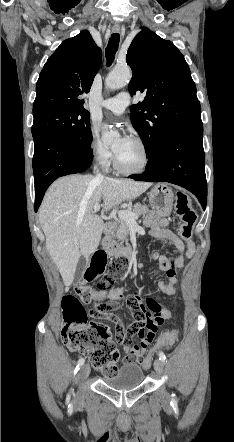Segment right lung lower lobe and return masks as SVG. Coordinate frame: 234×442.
I'll return each instance as SVG.
<instances>
[{
  "label": "right lung lower lobe",
  "instance_id": "1",
  "mask_svg": "<svg viewBox=\"0 0 234 442\" xmlns=\"http://www.w3.org/2000/svg\"><path fill=\"white\" fill-rule=\"evenodd\" d=\"M33 172L35 181V211L45 191L58 177L80 173L91 164V150L57 135H38L34 138Z\"/></svg>",
  "mask_w": 234,
  "mask_h": 442
}]
</instances>
